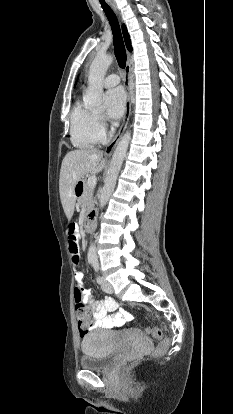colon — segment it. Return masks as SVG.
I'll list each match as a JSON object with an SVG mask.
<instances>
[{
  "label": "colon",
  "instance_id": "obj_1",
  "mask_svg": "<svg viewBox=\"0 0 233 414\" xmlns=\"http://www.w3.org/2000/svg\"><path fill=\"white\" fill-rule=\"evenodd\" d=\"M77 226L74 223H70L67 228L68 236V245L69 250L72 254L73 251H78V236L76 235ZM74 299H75V314L78 322V328L81 336L85 335L89 329L94 325L93 314L91 313L84 294L78 295L74 289ZM146 333H148L155 340L162 339V332L157 327H147L145 328ZM165 344L159 347V350H163Z\"/></svg>",
  "mask_w": 233,
  "mask_h": 414
}]
</instances>
